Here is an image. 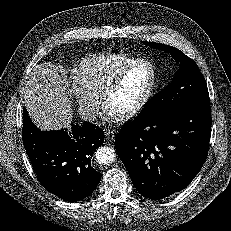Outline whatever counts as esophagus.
<instances>
[{
	"instance_id": "esophagus-1",
	"label": "esophagus",
	"mask_w": 231,
	"mask_h": 231,
	"mask_svg": "<svg viewBox=\"0 0 231 231\" xmlns=\"http://www.w3.org/2000/svg\"><path fill=\"white\" fill-rule=\"evenodd\" d=\"M116 132L114 130L107 129L105 131V138L107 141H113L115 139Z\"/></svg>"
}]
</instances>
